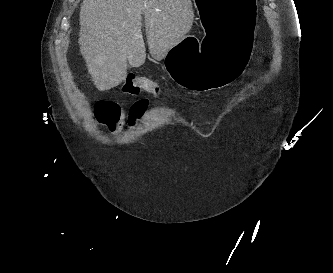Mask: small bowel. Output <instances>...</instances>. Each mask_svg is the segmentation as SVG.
Segmentation results:
<instances>
[{
    "label": "small bowel",
    "mask_w": 333,
    "mask_h": 273,
    "mask_svg": "<svg viewBox=\"0 0 333 273\" xmlns=\"http://www.w3.org/2000/svg\"><path fill=\"white\" fill-rule=\"evenodd\" d=\"M149 101L150 98L148 96H144L142 98V101L134 103L127 113L125 112V110H122V114L125 116L126 122L130 127H134L136 125V123L141 118L146 109V103H148ZM120 114H121V108H120ZM121 128L122 125L118 126V130H121Z\"/></svg>",
    "instance_id": "small-bowel-1"
}]
</instances>
